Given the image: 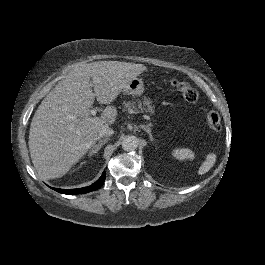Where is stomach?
I'll use <instances>...</instances> for the list:
<instances>
[{
    "mask_svg": "<svg viewBox=\"0 0 265 265\" xmlns=\"http://www.w3.org/2000/svg\"><path fill=\"white\" fill-rule=\"evenodd\" d=\"M124 94L141 96L144 92V83L139 78H132L122 89Z\"/></svg>",
    "mask_w": 265,
    "mask_h": 265,
    "instance_id": "0dacf381",
    "label": "stomach"
}]
</instances>
